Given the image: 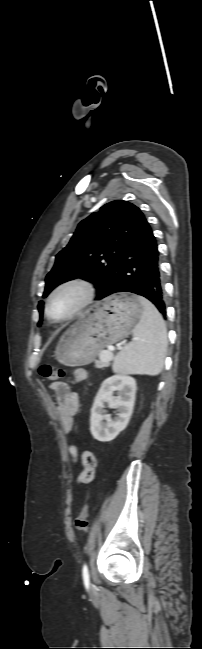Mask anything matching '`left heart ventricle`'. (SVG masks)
Listing matches in <instances>:
<instances>
[{
  "label": "left heart ventricle",
  "mask_w": 202,
  "mask_h": 649,
  "mask_svg": "<svg viewBox=\"0 0 202 649\" xmlns=\"http://www.w3.org/2000/svg\"><path fill=\"white\" fill-rule=\"evenodd\" d=\"M82 292L78 288H67L59 292L50 303V311L53 317L63 318L67 316L79 303Z\"/></svg>",
  "instance_id": "b2bd125f"
}]
</instances>
